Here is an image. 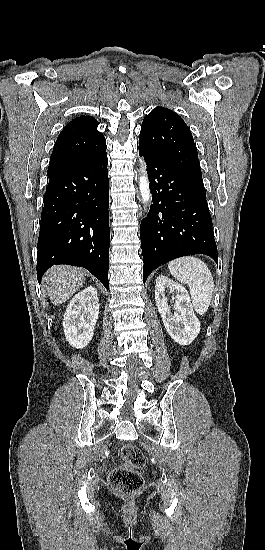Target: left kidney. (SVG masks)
I'll return each instance as SVG.
<instances>
[{
  "instance_id": "1",
  "label": "left kidney",
  "mask_w": 265,
  "mask_h": 550,
  "mask_svg": "<svg viewBox=\"0 0 265 550\" xmlns=\"http://www.w3.org/2000/svg\"><path fill=\"white\" fill-rule=\"evenodd\" d=\"M175 293V312L168 305L165 290ZM155 301L163 324L170 337L180 345L191 344L200 332V322L194 314L187 290L161 275L156 280Z\"/></svg>"
}]
</instances>
